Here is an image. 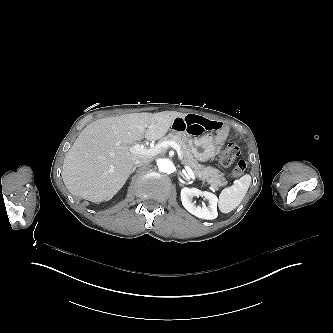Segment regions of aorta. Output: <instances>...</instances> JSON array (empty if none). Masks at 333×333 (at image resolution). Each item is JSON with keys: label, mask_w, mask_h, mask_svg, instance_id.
Here are the masks:
<instances>
[{"label": "aorta", "mask_w": 333, "mask_h": 333, "mask_svg": "<svg viewBox=\"0 0 333 333\" xmlns=\"http://www.w3.org/2000/svg\"><path fill=\"white\" fill-rule=\"evenodd\" d=\"M158 168L162 173H171L174 170V164L169 159H161L158 161Z\"/></svg>", "instance_id": "aorta-1"}]
</instances>
